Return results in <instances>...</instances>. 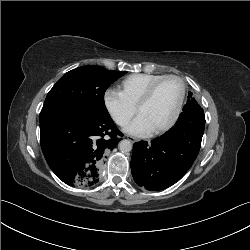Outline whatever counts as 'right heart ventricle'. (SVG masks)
Listing matches in <instances>:
<instances>
[{
	"mask_svg": "<svg viewBox=\"0 0 250 250\" xmlns=\"http://www.w3.org/2000/svg\"><path fill=\"white\" fill-rule=\"evenodd\" d=\"M162 74H132L125 77L119 84L120 92L134 106L146 91V89Z\"/></svg>",
	"mask_w": 250,
	"mask_h": 250,
	"instance_id": "1",
	"label": "right heart ventricle"
}]
</instances>
